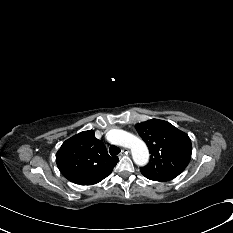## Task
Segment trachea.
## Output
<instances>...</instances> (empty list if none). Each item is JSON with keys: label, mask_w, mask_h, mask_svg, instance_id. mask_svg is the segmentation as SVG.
<instances>
[{"label": "trachea", "mask_w": 233, "mask_h": 233, "mask_svg": "<svg viewBox=\"0 0 233 233\" xmlns=\"http://www.w3.org/2000/svg\"><path fill=\"white\" fill-rule=\"evenodd\" d=\"M109 152L111 154V156H116L120 153V148L114 145H111L109 148Z\"/></svg>", "instance_id": "obj_1"}]
</instances>
